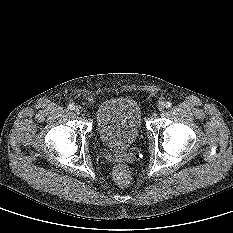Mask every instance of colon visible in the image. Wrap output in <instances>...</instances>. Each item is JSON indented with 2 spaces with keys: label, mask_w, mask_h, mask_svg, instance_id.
I'll return each mask as SVG.
<instances>
[{
  "label": "colon",
  "mask_w": 233,
  "mask_h": 233,
  "mask_svg": "<svg viewBox=\"0 0 233 233\" xmlns=\"http://www.w3.org/2000/svg\"><path fill=\"white\" fill-rule=\"evenodd\" d=\"M113 175L116 182H118L121 185L127 184L130 181V177H131L128 167L122 163L118 164L114 168Z\"/></svg>",
  "instance_id": "colon-1"
}]
</instances>
